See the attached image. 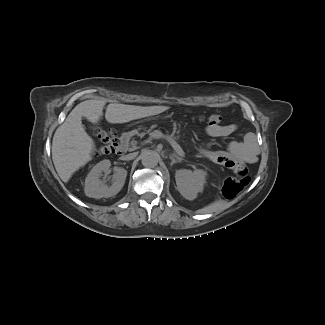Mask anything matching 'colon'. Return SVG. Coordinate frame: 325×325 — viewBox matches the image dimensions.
<instances>
[{
    "label": "colon",
    "mask_w": 325,
    "mask_h": 325,
    "mask_svg": "<svg viewBox=\"0 0 325 325\" xmlns=\"http://www.w3.org/2000/svg\"><path fill=\"white\" fill-rule=\"evenodd\" d=\"M205 122L209 126L219 125L221 117L218 115H211L205 118ZM96 135L99 139V152L108 154L115 152L117 139L112 130L103 128L96 129ZM250 182L249 169L245 165H239L235 168L234 175L227 178L223 184L222 192L225 197L232 199L236 197Z\"/></svg>",
    "instance_id": "obj_1"
}]
</instances>
